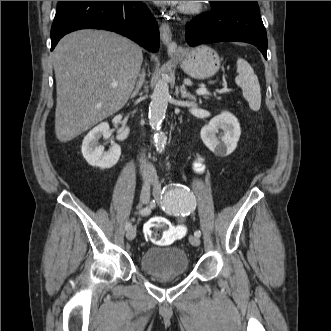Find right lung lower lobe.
Wrapping results in <instances>:
<instances>
[{"label":"right lung lower lobe","instance_id":"right-lung-lower-lobe-1","mask_svg":"<svg viewBox=\"0 0 331 331\" xmlns=\"http://www.w3.org/2000/svg\"><path fill=\"white\" fill-rule=\"evenodd\" d=\"M87 28L114 31L152 52L159 49L158 24L142 1H59L51 50L67 33Z\"/></svg>","mask_w":331,"mask_h":331}]
</instances>
